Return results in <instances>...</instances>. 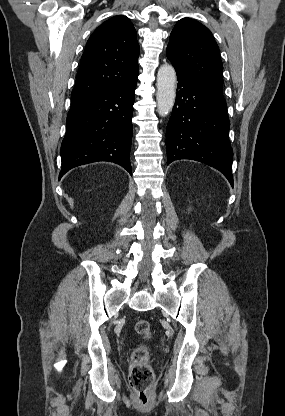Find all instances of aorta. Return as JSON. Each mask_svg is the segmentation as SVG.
Wrapping results in <instances>:
<instances>
[{"label": "aorta", "mask_w": 285, "mask_h": 416, "mask_svg": "<svg viewBox=\"0 0 285 416\" xmlns=\"http://www.w3.org/2000/svg\"><path fill=\"white\" fill-rule=\"evenodd\" d=\"M176 72L171 65H163L157 74L158 113L166 116L172 110L176 98Z\"/></svg>", "instance_id": "obj_1"}]
</instances>
